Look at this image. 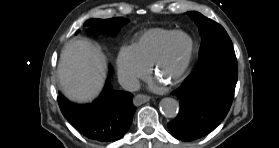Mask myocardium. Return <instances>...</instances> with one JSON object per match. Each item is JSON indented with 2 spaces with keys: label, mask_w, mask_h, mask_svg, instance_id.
Returning <instances> with one entry per match:
<instances>
[{
  "label": "myocardium",
  "mask_w": 279,
  "mask_h": 148,
  "mask_svg": "<svg viewBox=\"0 0 279 148\" xmlns=\"http://www.w3.org/2000/svg\"><path fill=\"white\" fill-rule=\"evenodd\" d=\"M180 36L188 38L189 47L183 64L171 80L172 84H176L183 80L191 68L195 54V42L193 40V37L189 33L182 30L174 31L165 41V44L163 45L162 49L160 50L159 54L157 55L152 64V71L155 75H157L160 66L163 64V62L166 60V58L169 56L171 52L174 40Z\"/></svg>",
  "instance_id": "f54148a6"
}]
</instances>
